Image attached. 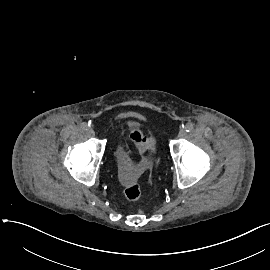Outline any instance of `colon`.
Returning <instances> with one entry per match:
<instances>
[{
	"instance_id": "colon-1",
	"label": "colon",
	"mask_w": 270,
	"mask_h": 270,
	"mask_svg": "<svg viewBox=\"0 0 270 270\" xmlns=\"http://www.w3.org/2000/svg\"><path fill=\"white\" fill-rule=\"evenodd\" d=\"M132 144L140 151H149L155 147L156 140L152 135L145 134L139 127H132L129 132ZM122 169L119 172L121 184L123 186V196L127 201L136 202L142 196L137 173L133 169L131 158L127 153L119 157Z\"/></svg>"
}]
</instances>
